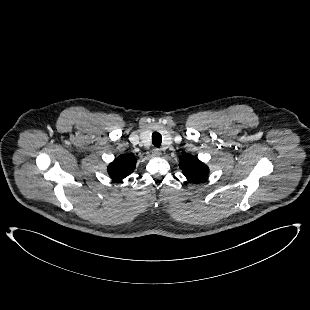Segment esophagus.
Segmentation results:
<instances>
[{"label": "esophagus", "instance_id": "1", "mask_svg": "<svg viewBox=\"0 0 310 310\" xmlns=\"http://www.w3.org/2000/svg\"><path fill=\"white\" fill-rule=\"evenodd\" d=\"M152 155L155 156V157H158L161 155V150L158 149V148H155L152 150Z\"/></svg>", "mask_w": 310, "mask_h": 310}]
</instances>
